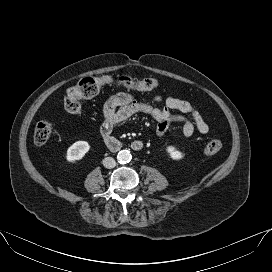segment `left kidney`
<instances>
[{
	"label": "left kidney",
	"mask_w": 272,
	"mask_h": 272,
	"mask_svg": "<svg viewBox=\"0 0 272 272\" xmlns=\"http://www.w3.org/2000/svg\"><path fill=\"white\" fill-rule=\"evenodd\" d=\"M166 151L169 153L170 157L174 160H180L183 158V153L177 150L173 146H168L166 148Z\"/></svg>",
	"instance_id": "left-kidney-1"
}]
</instances>
